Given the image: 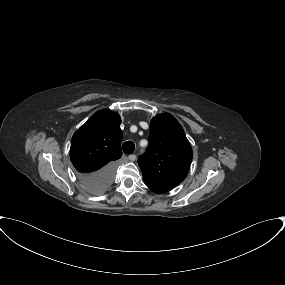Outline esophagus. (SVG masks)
<instances>
[{
	"instance_id": "34e87169",
	"label": "esophagus",
	"mask_w": 285,
	"mask_h": 285,
	"mask_svg": "<svg viewBox=\"0 0 285 285\" xmlns=\"http://www.w3.org/2000/svg\"><path fill=\"white\" fill-rule=\"evenodd\" d=\"M128 159L130 161H135L136 160V155L132 154V155H129Z\"/></svg>"
}]
</instances>
